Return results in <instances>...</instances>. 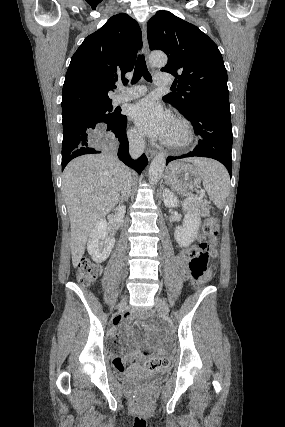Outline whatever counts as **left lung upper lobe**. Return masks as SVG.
<instances>
[{
    "label": "left lung upper lobe",
    "instance_id": "left-lung-upper-lobe-1",
    "mask_svg": "<svg viewBox=\"0 0 285 427\" xmlns=\"http://www.w3.org/2000/svg\"><path fill=\"white\" fill-rule=\"evenodd\" d=\"M151 50H162L168 63L161 71L175 76L177 93L163 97L185 115L195 107L230 109L227 71L217 45L198 27L160 10L148 21Z\"/></svg>",
    "mask_w": 285,
    "mask_h": 427
}]
</instances>
